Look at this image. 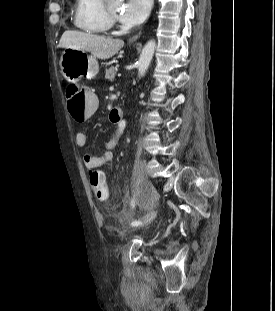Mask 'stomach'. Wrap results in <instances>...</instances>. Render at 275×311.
I'll list each match as a JSON object with an SVG mask.
<instances>
[{
  "instance_id": "obj_1",
  "label": "stomach",
  "mask_w": 275,
  "mask_h": 311,
  "mask_svg": "<svg viewBox=\"0 0 275 311\" xmlns=\"http://www.w3.org/2000/svg\"><path fill=\"white\" fill-rule=\"evenodd\" d=\"M60 66L64 78L72 83L78 82L84 76L93 79L99 72L96 57L79 49H65L60 58Z\"/></svg>"
}]
</instances>
